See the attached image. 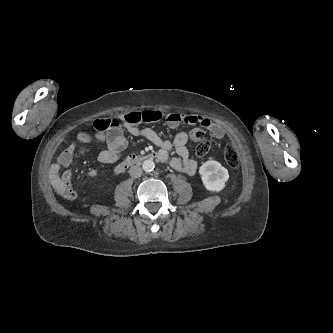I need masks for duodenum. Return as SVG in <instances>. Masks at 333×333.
Returning <instances> with one entry per match:
<instances>
[{
    "label": "duodenum",
    "mask_w": 333,
    "mask_h": 333,
    "mask_svg": "<svg viewBox=\"0 0 333 333\" xmlns=\"http://www.w3.org/2000/svg\"><path fill=\"white\" fill-rule=\"evenodd\" d=\"M158 158L157 153L149 154H132L126 157L121 163H119L115 168V173L120 174L127 170L129 167L140 164L146 160Z\"/></svg>",
    "instance_id": "1"
}]
</instances>
